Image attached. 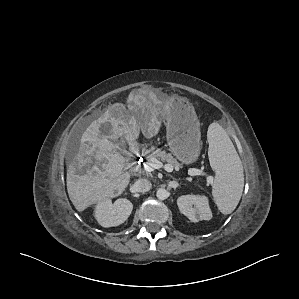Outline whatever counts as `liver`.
I'll list each match as a JSON object with an SVG mask.
<instances>
[{"label":"liver","mask_w":299,"mask_h":299,"mask_svg":"<svg viewBox=\"0 0 299 299\" xmlns=\"http://www.w3.org/2000/svg\"><path fill=\"white\" fill-rule=\"evenodd\" d=\"M146 99L138 102L144 108ZM105 123L112 126V134L105 136L100 127ZM160 130L158 112L153 108L138 109L116 103L84 131L74 160L67 166V191L76 210L81 212L106 199L120 195L130 182V173L123 172L125 158L116 150L111 140L119 137L134 141L140 131L146 137L156 135Z\"/></svg>","instance_id":"6515ba94"}]
</instances>
